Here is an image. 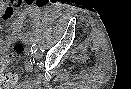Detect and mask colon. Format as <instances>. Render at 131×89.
Returning <instances> with one entry per match:
<instances>
[{"label":"colon","instance_id":"obj_1","mask_svg":"<svg viewBox=\"0 0 131 89\" xmlns=\"http://www.w3.org/2000/svg\"><path fill=\"white\" fill-rule=\"evenodd\" d=\"M27 47L22 41H15L4 50H0V89L13 87L17 82L14 73H6L5 69L16 59L26 55Z\"/></svg>","mask_w":131,"mask_h":89}]
</instances>
